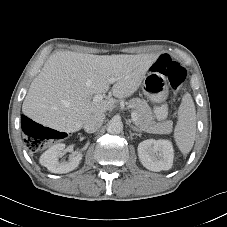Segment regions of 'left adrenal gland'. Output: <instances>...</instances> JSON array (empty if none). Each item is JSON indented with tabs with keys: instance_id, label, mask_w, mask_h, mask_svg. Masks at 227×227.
Wrapping results in <instances>:
<instances>
[{
	"instance_id": "left-adrenal-gland-1",
	"label": "left adrenal gland",
	"mask_w": 227,
	"mask_h": 227,
	"mask_svg": "<svg viewBox=\"0 0 227 227\" xmlns=\"http://www.w3.org/2000/svg\"><path fill=\"white\" fill-rule=\"evenodd\" d=\"M129 126H130V128H131L133 131H136V132L141 133V129H139L138 127L133 126V125H131V124H129ZM139 135H140V134H139Z\"/></svg>"
}]
</instances>
